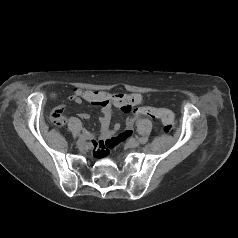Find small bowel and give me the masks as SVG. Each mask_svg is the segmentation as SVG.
Returning a JSON list of instances; mask_svg holds the SVG:
<instances>
[{"mask_svg":"<svg viewBox=\"0 0 238 238\" xmlns=\"http://www.w3.org/2000/svg\"><path fill=\"white\" fill-rule=\"evenodd\" d=\"M68 100L76 104H82L84 101L89 102L95 106L101 108V117L99 119L101 126L102 136L105 138L114 136L120 129V126L116 124L113 128H110L111 116H112V104L120 108L124 112H130L133 106H136L142 102V96L140 94H114L110 95L104 91L83 90L76 88L72 95L68 97ZM63 105H59L52 112V119L58 126H63L67 118L63 114ZM55 111H59L60 115L57 121H55L53 114ZM82 119H88L87 113L79 114ZM134 125V118H129L126 121L127 130H131Z\"/></svg>","mask_w":238,"mask_h":238,"instance_id":"1","label":"small bowel"}]
</instances>
